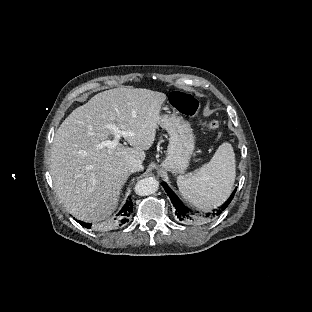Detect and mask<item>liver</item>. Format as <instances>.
I'll list each match as a JSON object with an SVG mask.
<instances>
[{"label": "liver", "instance_id": "obj_1", "mask_svg": "<svg viewBox=\"0 0 312 312\" xmlns=\"http://www.w3.org/2000/svg\"><path fill=\"white\" fill-rule=\"evenodd\" d=\"M167 96L148 89L115 88L76 108L55 133L49 172L56 193L77 219L95 223L117 209L131 162H144L162 122ZM133 148L96 146L109 140L112 127Z\"/></svg>", "mask_w": 312, "mask_h": 312}]
</instances>
